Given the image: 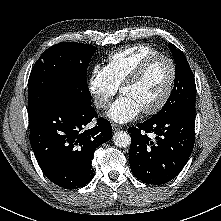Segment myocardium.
<instances>
[{
    "mask_svg": "<svg viewBox=\"0 0 221 221\" xmlns=\"http://www.w3.org/2000/svg\"><path fill=\"white\" fill-rule=\"evenodd\" d=\"M157 59H164L169 63L170 69H171L170 80H169L168 87H167L163 97L157 102V104L151 108L142 110V113L144 115L157 114L169 102V100L173 94L174 86H175L176 79H177V67H176L175 61L169 55L164 54V53H157V54L151 55V56L145 58L130 73V75L120 85V89H119L120 93H122L124 88L134 85L143 76V74L145 73V71L147 70L149 65Z\"/></svg>",
    "mask_w": 221,
    "mask_h": 221,
    "instance_id": "1",
    "label": "myocardium"
}]
</instances>
